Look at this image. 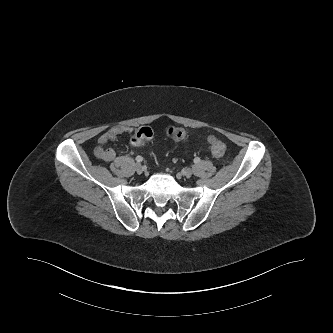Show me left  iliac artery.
Returning <instances> with one entry per match:
<instances>
[{"mask_svg": "<svg viewBox=\"0 0 333 333\" xmlns=\"http://www.w3.org/2000/svg\"><path fill=\"white\" fill-rule=\"evenodd\" d=\"M200 162V158L199 157H196L195 159H194V163H199Z\"/></svg>", "mask_w": 333, "mask_h": 333, "instance_id": "44dca946", "label": "left iliac artery"}]
</instances>
